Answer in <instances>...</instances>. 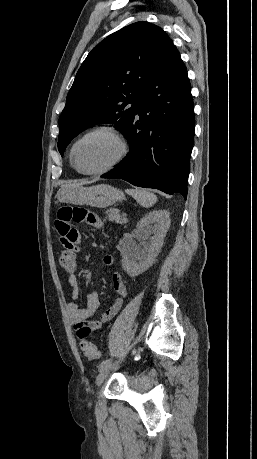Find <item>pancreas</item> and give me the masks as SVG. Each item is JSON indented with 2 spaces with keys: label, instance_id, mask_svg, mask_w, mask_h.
Returning <instances> with one entry per match:
<instances>
[{
  "label": "pancreas",
  "instance_id": "1",
  "mask_svg": "<svg viewBox=\"0 0 257 459\" xmlns=\"http://www.w3.org/2000/svg\"><path fill=\"white\" fill-rule=\"evenodd\" d=\"M106 215H107L106 218L109 221L120 223V224L124 222V219L122 218V215L120 214V211L116 208H110L106 210Z\"/></svg>",
  "mask_w": 257,
  "mask_h": 459
}]
</instances>
